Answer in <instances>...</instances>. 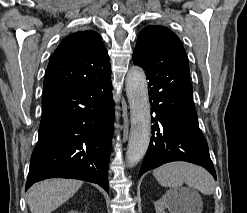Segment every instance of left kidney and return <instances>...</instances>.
<instances>
[{
  "label": "left kidney",
  "instance_id": "5707ae66",
  "mask_svg": "<svg viewBox=\"0 0 247 213\" xmlns=\"http://www.w3.org/2000/svg\"><path fill=\"white\" fill-rule=\"evenodd\" d=\"M197 201L192 192L188 190L168 191L162 198L155 202L156 213H200Z\"/></svg>",
  "mask_w": 247,
  "mask_h": 213
}]
</instances>
